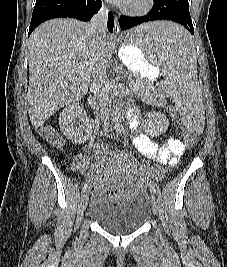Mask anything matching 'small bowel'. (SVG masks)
I'll return each instance as SVG.
<instances>
[{
    "label": "small bowel",
    "mask_w": 227,
    "mask_h": 267,
    "mask_svg": "<svg viewBox=\"0 0 227 267\" xmlns=\"http://www.w3.org/2000/svg\"><path fill=\"white\" fill-rule=\"evenodd\" d=\"M129 124L131 130L134 131L133 141L135 146L143 156L166 166H174L179 162L185 150L180 139L170 137L157 144L147 135L136 132L140 124L138 117H132ZM82 166L83 160L79 158L76 161V167L80 169ZM91 179L90 190L98 197H115L120 193L117 186L101 181V172L98 170L91 173Z\"/></svg>",
    "instance_id": "1"
}]
</instances>
